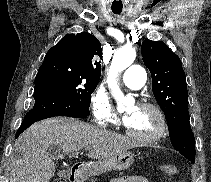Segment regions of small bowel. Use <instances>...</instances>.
Here are the masks:
<instances>
[{
  "instance_id": "small-bowel-1",
  "label": "small bowel",
  "mask_w": 211,
  "mask_h": 182,
  "mask_svg": "<svg viewBox=\"0 0 211 182\" xmlns=\"http://www.w3.org/2000/svg\"><path fill=\"white\" fill-rule=\"evenodd\" d=\"M112 182H148L140 176H121L112 180Z\"/></svg>"
}]
</instances>
